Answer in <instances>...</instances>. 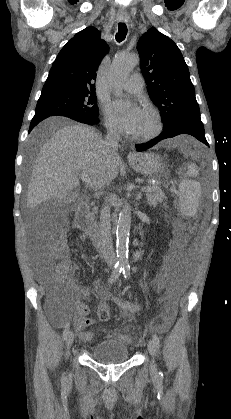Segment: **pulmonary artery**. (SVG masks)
Segmentation results:
<instances>
[{
  "instance_id": "1",
  "label": "pulmonary artery",
  "mask_w": 231,
  "mask_h": 419,
  "mask_svg": "<svg viewBox=\"0 0 231 419\" xmlns=\"http://www.w3.org/2000/svg\"><path fill=\"white\" fill-rule=\"evenodd\" d=\"M144 87V81L140 74H132L123 84L122 88L133 94L141 93Z\"/></svg>"
}]
</instances>
